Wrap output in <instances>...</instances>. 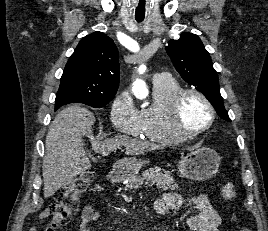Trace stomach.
<instances>
[{
	"label": "stomach",
	"mask_w": 268,
	"mask_h": 231,
	"mask_svg": "<svg viewBox=\"0 0 268 231\" xmlns=\"http://www.w3.org/2000/svg\"><path fill=\"white\" fill-rule=\"evenodd\" d=\"M147 161L135 157L124 158L118 161L117 167L126 178L135 176ZM220 157L210 148H199L183 156L178 169L182 177L203 181L211 178L219 168Z\"/></svg>",
	"instance_id": "stomach-1"
}]
</instances>
